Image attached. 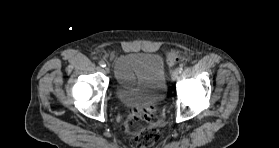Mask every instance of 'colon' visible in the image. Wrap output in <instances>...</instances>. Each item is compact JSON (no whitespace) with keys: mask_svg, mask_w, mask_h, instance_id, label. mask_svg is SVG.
<instances>
[{"mask_svg":"<svg viewBox=\"0 0 279 148\" xmlns=\"http://www.w3.org/2000/svg\"><path fill=\"white\" fill-rule=\"evenodd\" d=\"M182 60L179 51L172 50L167 61L174 66ZM154 107L130 109L125 121V129L131 135V143L134 148H149L160 139V131L153 120Z\"/></svg>","mask_w":279,"mask_h":148,"instance_id":"obj_1","label":"colon"}]
</instances>
